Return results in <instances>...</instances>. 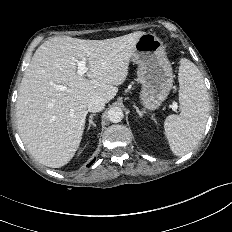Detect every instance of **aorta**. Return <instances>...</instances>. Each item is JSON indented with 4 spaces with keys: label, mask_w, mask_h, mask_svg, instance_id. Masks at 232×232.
<instances>
[{
    "label": "aorta",
    "mask_w": 232,
    "mask_h": 232,
    "mask_svg": "<svg viewBox=\"0 0 232 232\" xmlns=\"http://www.w3.org/2000/svg\"><path fill=\"white\" fill-rule=\"evenodd\" d=\"M108 119L113 123H118L123 119V110L120 107H112L108 111Z\"/></svg>",
    "instance_id": "762f6f07"
}]
</instances>
